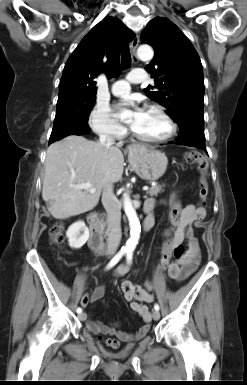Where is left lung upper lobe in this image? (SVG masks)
I'll use <instances>...</instances> for the list:
<instances>
[{
	"mask_svg": "<svg viewBox=\"0 0 247 385\" xmlns=\"http://www.w3.org/2000/svg\"><path fill=\"white\" fill-rule=\"evenodd\" d=\"M141 40L155 51L145 67L156 83L144 89L147 96L166 107L178 124L187 119H203V69L188 38L167 18L156 17L143 30ZM154 88L158 91H150Z\"/></svg>",
	"mask_w": 247,
	"mask_h": 385,
	"instance_id": "5c2ea615",
	"label": "left lung upper lobe"
}]
</instances>
